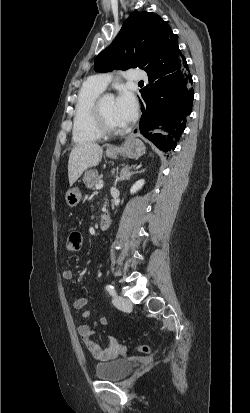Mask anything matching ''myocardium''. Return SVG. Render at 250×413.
Masks as SVG:
<instances>
[{"mask_svg": "<svg viewBox=\"0 0 250 413\" xmlns=\"http://www.w3.org/2000/svg\"><path fill=\"white\" fill-rule=\"evenodd\" d=\"M104 98H106V95L101 94L94 103L93 110L97 128L99 129L102 135L117 134L122 129L121 127L113 126L108 122L102 108V102Z\"/></svg>", "mask_w": 250, "mask_h": 413, "instance_id": "obj_1", "label": "myocardium"}]
</instances>
